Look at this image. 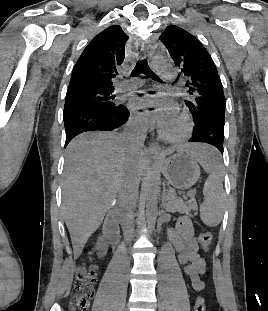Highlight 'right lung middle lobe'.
<instances>
[{
	"label": "right lung middle lobe",
	"instance_id": "1",
	"mask_svg": "<svg viewBox=\"0 0 268 311\" xmlns=\"http://www.w3.org/2000/svg\"><path fill=\"white\" fill-rule=\"evenodd\" d=\"M114 89L98 88L92 86H76L68 88L63 116L75 107H87L109 112L114 110L119 103L113 101L111 96Z\"/></svg>",
	"mask_w": 268,
	"mask_h": 311
}]
</instances>
